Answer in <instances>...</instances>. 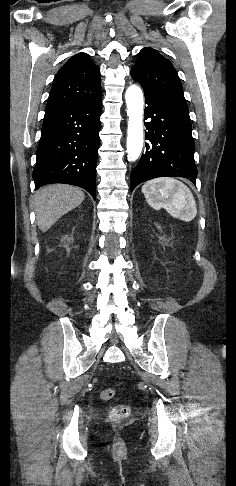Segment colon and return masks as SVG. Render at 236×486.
Segmentation results:
<instances>
[{"instance_id":"1","label":"colon","mask_w":236,"mask_h":486,"mask_svg":"<svg viewBox=\"0 0 236 486\" xmlns=\"http://www.w3.org/2000/svg\"><path fill=\"white\" fill-rule=\"evenodd\" d=\"M115 395V391L114 389H105L101 392L100 394V397L102 400L104 401H108L110 399H112ZM130 412H131V408L129 405L127 404H120V405H117L115 406L111 413H110V417L113 421H116V422H120L124 419H126L129 415H130Z\"/></svg>"}]
</instances>
